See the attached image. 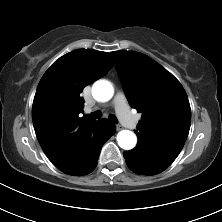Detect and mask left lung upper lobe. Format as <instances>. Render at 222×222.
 <instances>
[{
    "mask_svg": "<svg viewBox=\"0 0 222 222\" xmlns=\"http://www.w3.org/2000/svg\"><path fill=\"white\" fill-rule=\"evenodd\" d=\"M130 105L142 113L138 144L174 161L184 146L191 109L181 83L153 59L139 52H111Z\"/></svg>",
    "mask_w": 222,
    "mask_h": 222,
    "instance_id": "5c2ea615",
    "label": "left lung upper lobe"
}]
</instances>
